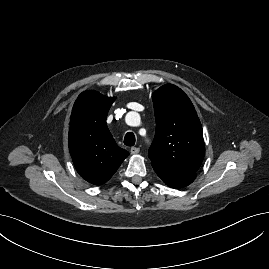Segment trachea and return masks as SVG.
<instances>
[{
  "mask_svg": "<svg viewBox=\"0 0 269 269\" xmlns=\"http://www.w3.org/2000/svg\"><path fill=\"white\" fill-rule=\"evenodd\" d=\"M124 144L126 146H133L135 144V135L132 132H128L124 137Z\"/></svg>",
  "mask_w": 269,
  "mask_h": 269,
  "instance_id": "trachea-1",
  "label": "trachea"
}]
</instances>
